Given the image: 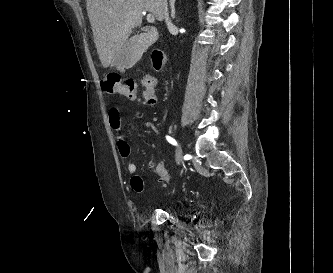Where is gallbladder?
Wrapping results in <instances>:
<instances>
[{"instance_id":"obj_1","label":"gallbladder","mask_w":333,"mask_h":273,"mask_svg":"<svg viewBox=\"0 0 333 273\" xmlns=\"http://www.w3.org/2000/svg\"><path fill=\"white\" fill-rule=\"evenodd\" d=\"M149 45L146 42V35L135 36L129 39L120 54L115 58L112 66L120 71L132 68L141 59Z\"/></svg>"}]
</instances>
